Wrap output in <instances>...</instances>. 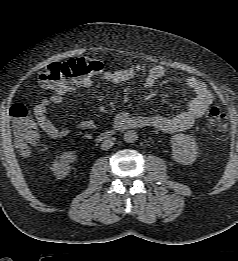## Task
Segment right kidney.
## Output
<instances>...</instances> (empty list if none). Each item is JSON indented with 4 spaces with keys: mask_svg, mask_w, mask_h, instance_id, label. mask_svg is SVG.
Masks as SVG:
<instances>
[{
    "mask_svg": "<svg viewBox=\"0 0 238 261\" xmlns=\"http://www.w3.org/2000/svg\"><path fill=\"white\" fill-rule=\"evenodd\" d=\"M60 158L61 159L59 161L53 164L52 171L58 179H63L70 172L69 164L74 162L77 159V156L75 152L67 151L64 152Z\"/></svg>",
    "mask_w": 238,
    "mask_h": 261,
    "instance_id": "ca27d5eb",
    "label": "right kidney"
}]
</instances>
